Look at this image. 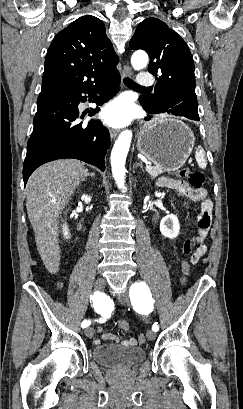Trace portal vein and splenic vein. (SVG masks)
I'll use <instances>...</instances> for the list:
<instances>
[{"label": "portal vein and splenic vein", "instance_id": "obj_1", "mask_svg": "<svg viewBox=\"0 0 243 409\" xmlns=\"http://www.w3.org/2000/svg\"><path fill=\"white\" fill-rule=\"evenodd\" d=\"M150 169H152V166H151V165H147V166H146V170H150Z\"/></svg>", "mask_w": 243, "mask_h": 409}]
</instances>
